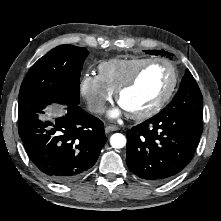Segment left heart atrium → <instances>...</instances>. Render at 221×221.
<instances>
[{"label":"left heart atrium","instance_id":"left-heart-atrium-1","mask_svg":"<svg viewBox=\"0 0 221 221\" xmlns=\"http://www.w3.org/2000/svg\"><path fill=\"white\" fill-rule=\"evenodd\" d=\"M123 111H124V109L120 106V109L116 108V109L111 110L109 112V116L111 118H115V117L119 116Z\"/></svg>","mask_w":221,"mask_h":221}]
</instances>
